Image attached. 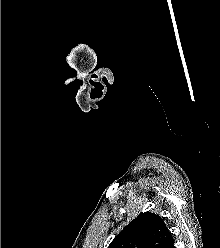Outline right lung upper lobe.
I'll return each instance as SVG.
<instances>
[{
	"mask_svg": "<svg viewBox=\"0 0 220 248\" xmlns=\"http://www.w3.org/2000/svg\"><path fill=\"white\" fill-rule=\"evenodd\" d=\"M172 241V234L161 217L145 212L131 221L108 248H167Z\"/></svg>",
	"mask_w": 220,
	"mask_h": 248,
	"instance_id": "1",
	"label": "right lung upper lobe"
}]
</instances>
